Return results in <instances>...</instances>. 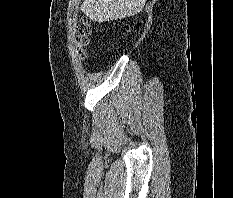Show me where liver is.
Here are the masks:
<instances>
[{
	"mask_svg": "<svg viewBox=\"0 0 233 198\" xmlns=\"http://www.w3.org/2000/svg\"><path fill=\"white\" fill-rule=\"evenodd\" d=\"M145 3L146 0H84L81 10L94 22L103 23L134 16Z\"/></svg>",
	"mask_w": 233,
	"mask_h": 198,
	"instance_id": "1",
	"label": "liver"
}]
</instances>
